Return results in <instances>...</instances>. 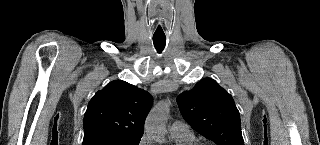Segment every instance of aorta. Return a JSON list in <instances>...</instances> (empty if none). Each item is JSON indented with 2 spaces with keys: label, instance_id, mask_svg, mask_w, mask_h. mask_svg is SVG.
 <instances>
[{
  "label": "aorta",
  "instance_id": "1",
  "mask_svg": "<svg viewBox=\"0 0 320 145\" xmlns=\"http://www.w3.org/2000/svg\"><path fill=\"white\" fill-rule=\"evenodd\" d=\"M169 111V103L162 101L158 103L150 112L145 123L147 133L161 140L166 133V118Z\"/></svg>",
  "mask_w": 320,
  "mask_h": 145
}]
</instances>
